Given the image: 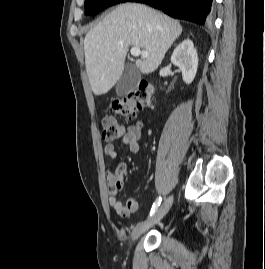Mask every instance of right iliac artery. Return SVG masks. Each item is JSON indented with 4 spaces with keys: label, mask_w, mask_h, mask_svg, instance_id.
<instances>
[{
    "label": "right iliac artery",
    "mask_w": 265,
    "mask_h": 269,
    "mask_svg": "<svg viewBox=\"0 0 265 269\" xmlns=\"http://www.w3.org/2000/svg\"><path fill=\"white\" fill-rule=\"evenodd\" d=\"M162 201L161 196L157 197V199L155 200L152 208H151V212L149 214V217L153 216V214L156 212V210L158 209V207L160 206V203Z\"/></svg>",
    "instance_id": "1"
}]
</instances>
